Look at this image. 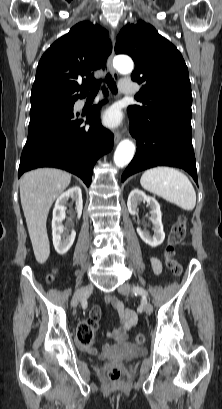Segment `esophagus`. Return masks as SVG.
<instances>
[{"instance_id": "esophagus-1", "label": "esophagus", "mask_w": 222, "mask_h": 409, "mask_svg": "<svg viewBox=\"0 0 222 409\" xmlns=\"http://www.w3.org/2000/svg\"><path fill=\"white\" fill-rule=\"evenodd\" d=\"M110 39H111L112 46H113V48H114V44H115V33H114L113 30L111 31ZM113 55H114V51L112 50L111 54L109 55V57H108V59H107V64H108V68H109V70H110V72H111L113 78H114L115 80H118L119 75H118V73L115 71V69H114V67H113V65H112ZM121 137H122L121 132H120V131H116L115 134H114V143L117 144V143L120 141Z\"/></svg>"}]
</instances>
